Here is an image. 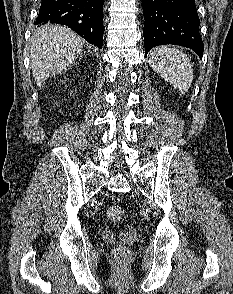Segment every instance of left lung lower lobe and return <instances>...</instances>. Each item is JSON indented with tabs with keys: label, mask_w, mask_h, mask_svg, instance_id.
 I'll list each match as a JSON object with an SVG mask.
<instances>
[{
	"label": "left lung lower lobe",
	"mask_w": 233,
	"mask_h": 294,
	"mask_svg": "<svg viewBox=\"0 0 233 294\" xmlns=\"http://www.w3.org/2000/svg\"><path fill=\"white\" fill-rule=\"evenodd\" d=\"M143 15L145 55L155 46L174 44L202 57L204 45L195 0H143Z\"/></svg>",
	"instance_id": "left-lung-lower-lobe-1"
}]
</instances>
